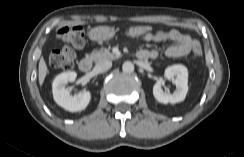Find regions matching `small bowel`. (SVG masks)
I'll return each mask as SVG.
<instances>
[{
  "instance_id": "c3829d8e",
  "label": "small bowel",
  "mask_w": 244,
  "mask_h": 157,
  "mask_svg": "<svg viewBox=\"0 0 244 157\" xmlns=\"http://www.w3.org/2000/svg\"><path fill=\"white\" fill-rule=\"evenodd\" d=\"M148 42L165 43L173 41L174 44L165 49V55L168 57H182L187 55L192 49V39L189 35L179 32L178 30L156 31L142 37ZM156 49H142L138 52L140 59H156L159 56Z\"/></svg>"
}]
</instances>
